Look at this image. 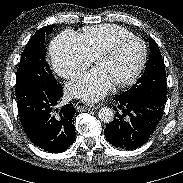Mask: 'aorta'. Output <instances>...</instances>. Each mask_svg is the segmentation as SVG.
Returning <instances> with one entry per match:
<instances>
[{"label":"aorta","mask_w":183,"mask_h":183,"mask_svg":"<svg viewBox=\"0 0 183 183\" xmlns=\"http://www.w3.org/2000/svg\"><path fill=\"white\" fill-rule=\"evenodd\" d=\"M100 121L104 123H110L114 119V111L109 107H102L98 112Z\"/></svg>","instance_id":"762f6f07"}]
</instances>
